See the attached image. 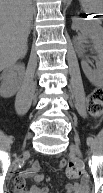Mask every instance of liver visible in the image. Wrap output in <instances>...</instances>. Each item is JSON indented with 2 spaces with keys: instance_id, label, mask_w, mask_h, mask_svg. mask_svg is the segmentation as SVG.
<instances>
[{
  "instance_id": "obj_1",
  "label": "liver",
  "mask_w": 103,
  "mask_h": 193,
  "mask_svg": "<svg viewBox=\"0 0 103 193\" xmlns=\"http://www.w3.org/2000/svg\"><path fill=\"white\" fill-rule=\"evenodd\" d=\"M32 19V0L0 1L1 70L14 65L26 55Z\"/></svg>"
}]
</instances>
